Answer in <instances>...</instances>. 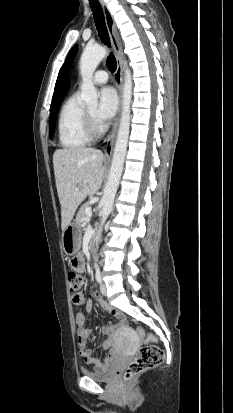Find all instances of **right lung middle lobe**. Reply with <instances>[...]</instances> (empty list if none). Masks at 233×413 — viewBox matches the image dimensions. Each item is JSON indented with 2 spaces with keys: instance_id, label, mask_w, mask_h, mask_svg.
Here are the masks:
<instances>
[{
  "instance_id": "1",
  "label": "right lung middle lobe",
  "mask_w": 233,
  "mask_h": 413,
  "mask_svg": "<svg viewBox=\"0 0 233 413\" xmlns=\"http://www.w3.org/2000/svg\"><path fill=\"white\" fill-rule=\"evenodd\" d=\"M60 105H61V103L50 109V111H51L50 121H49V136H50V138L53 136V132H54V129H55V115H56Z\"/></svg>"
}]
</instances>
